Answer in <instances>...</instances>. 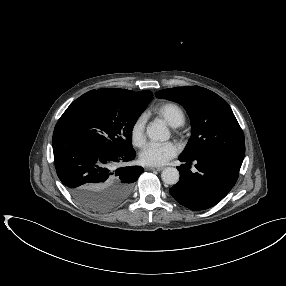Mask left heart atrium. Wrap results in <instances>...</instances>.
<instances>
[{
    "mask_svg": "<svg viewBox=\"0 0 286 286\" xmlns=\"http://www.w3.org/2000/svg\"><path fill=\"white\" fill-rule=\"evenodd\" d=\"M178 147L172 142L148 143L140 152L139 160L146 166H162L178 154Z\"/></svg>",
    "mask_w": 286,
    "mask_h": 286,
    "instance_id": "obj_1",
    "label": "left heart atrium"
}]
</instances>
